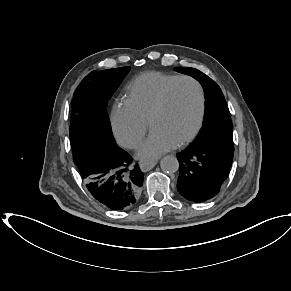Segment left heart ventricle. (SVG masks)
I'll use <instances>...</instances> for the list:
<instances>
[{
  "instance_id": "left-heart-ventricle-1",
  "label": "left heart ventricle",
  "mask_w": 291,
  "mask_h": 291,
  "mask_svg": "<svg viewBox=\"0 0 291 291\" xmlns=\"http://www.w3.org/2000/svg\"><path fill=\"white\" fill-rule=\"evenodd\" d=\"M199 108L196 86L190 81H180L169 93L165 109L155 118L151 128L178 143L194 129Z\"/></svg>"
}]
</instances>
